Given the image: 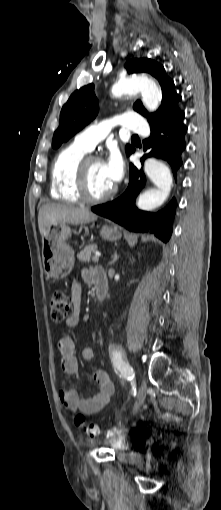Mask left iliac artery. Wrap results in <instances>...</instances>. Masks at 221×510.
Here are the masks:
<instances>
[{
  "instance_id": "obj_1",
  "label": "left iliac artery",
  "mask_w": 221,
  "mask_h": 510,
  "mask_svg": "<svg viewBox=\"0 0 221 510\" xmlns=\"http://www.w3.org/2000/svg\"><path fill=\"white\" fill-rule=\"evenodd\" d=\"M111 361L120 374L129 381L134 380L135 373L121 350L114 349L111 353Z\"/></svg>"
}]
</instances>
